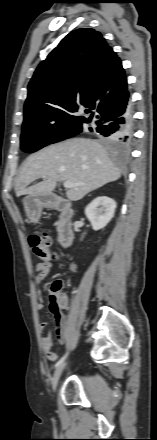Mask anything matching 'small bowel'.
<instances>
[{
    "mask_svg": "<svg viewBox=\"0 0 157 440\" xmlns=\"http://www.w3.org/2000/svg\"><path fill=\"white\" fill-rule=\"evenodd\" d=\"M37 275V283L42 282L51 271V264L49 262H39L36 264ZM44 305L42 302L37 304V310H42ZM50 312L53 315L54 323H55V334L60 343H63L65 340V332H66V317L60 311V309H52L50 308ZM48 324L46 322H41L39 324V329L41 332L47 328ZM41 345L44 351L45 356L51 361L54 362L58 359V354L55 353L52 349V335L48 333L41 337Z\"/></svg>",
    "mask_w": 157,
    "mask_h": 440,
    "instance_id": "obj_1",
    "label": "small bowel"
}]
</instances>
